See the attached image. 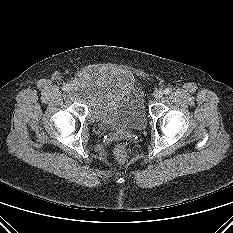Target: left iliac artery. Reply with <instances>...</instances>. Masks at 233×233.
<instances>
[{
	"instance_id": "1",
	"label": "left iliac artery",
	"mask_w": 233,
	"mask_h": 233,
	"mask_svg": "<svg viewBox=\"0 0 233 233\" xmlns=\"http://www.w3.org/2000/svg\"><path fill=\"white\" fill-rule=\"evenodd\" d=\"M170 92H171L170 88H165L164 94L168 95V94H170Z\"/></svg>"
}]
</instances>
